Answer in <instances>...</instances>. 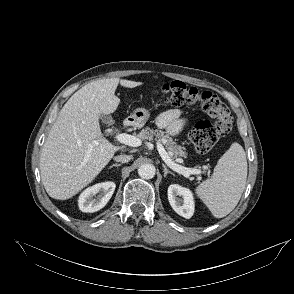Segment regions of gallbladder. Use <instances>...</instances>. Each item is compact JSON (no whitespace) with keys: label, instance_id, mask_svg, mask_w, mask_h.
Segmentation results:
<instances>
[{"label":"gallbladder","instance_id":"obj_1","mask_svg":"<svg viewBox=\"0 0 294 294\" xmlns=\"http://www.w3.org/2000/svg\"><path fill=\"white\" fill-rule=\"evenodd\" d=\"M100 119L106 124H112L114 122L110 115H101Z\"/></svg>","mask_w":294,"mask_h":294}]
</instances>
